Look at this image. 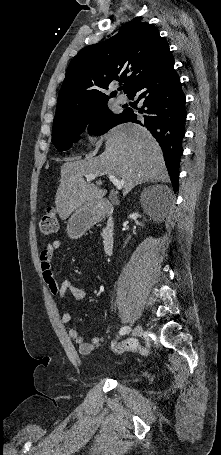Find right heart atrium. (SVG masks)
<instances>
[{"mask_svg": "<svg viewBox=\"0 0 221 455\" xmlns=\"http://www.w3.org/2000/svg\"><path fill=\"white\" fill-rule=\"evenodd\" d=\"M101 137V127L95 120L88 121L83 128L82 141L87 148L97 146Z\"/></svg>", "mask_w": 221, "mask_h": 455, "instance_id": "1", "label": "right heart atrium"}]
</instances>
